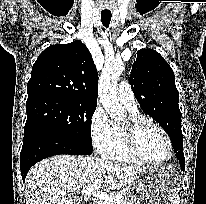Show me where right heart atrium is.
<instances>
[{"instance_id":"d8ad5b80","label":"right heart atrium","mask_w":206,"mask_h":204,"mask_svg":"<svg viewBox=\"0 0 206 204\" xmlns=\"http://www.w3.org/2000/svg\"><path fill=\"white\" fill-rule=\"evenodd\" d=\"M89 129L93 147L101 153L112 134V122L101 106H97L92 113Z\"/></svg>"}]
</instances>
